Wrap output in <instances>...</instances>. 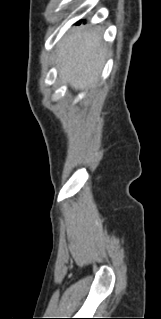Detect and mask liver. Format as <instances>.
<instances>
[{"label":"liver","mask_w":161,"mask_h":319,"mask_svg":"<svg viewBox=\"0 0 161 319\" xmlns=\"http://www.w3.org/2000/svg\"><path fill=\"white\" fill-rule=\"evenodd\" d=\"M107 48L95 29H76L59 43L56 64L63 83L76 90L91 88L104 66Z\"/></svg>","instance_id":"1"}]
</instances>
